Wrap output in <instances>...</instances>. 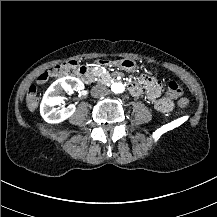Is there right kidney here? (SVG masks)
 <instances>
[{
  "label": "right kidney",
  "mask_w": 217,
  "mask_h": 217,
  "mask_svg": "<svg viewBox=\"0 0 217 217\" xmlns=\"http://www.w3.org/2000/svg\"><path fill=\"white\" fill-rule=\"evenodd\" d=\"M84 89V84L75 77H64L55 81L44 94L40 105V114L45 122L58 124L71 117L76 107L74 105L64 106L60 112H55V106L62 105L65 91L69 93L79 92Z\"/></svg>",
  "instance_id": "1"
}]
</instances>
